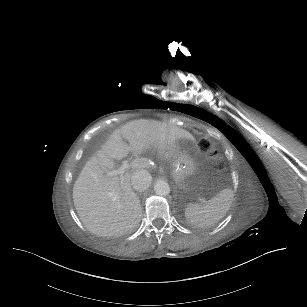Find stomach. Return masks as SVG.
<instances>
[{
    "mask_svg": "<svg viewBox=\"0 0 307 307\" xmlns=\"http://www.w3.org/2000/svg\"><path fill=\"white\" fill-rule=\"evenodd\" d=\"M200 157L198 145L189 140H183L178 148L173 162V177L180 188L188 189L192 186L196 167Z\"/></svg>",
    "mask_w": 307,
    "mask_h": 307,
    "instance_id": "obj_1",
    "label": "stomach"
}]
</instances>
